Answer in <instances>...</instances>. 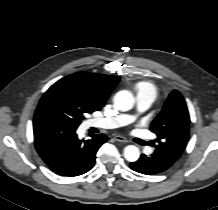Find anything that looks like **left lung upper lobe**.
<instances>
[{
    "instance_id": "5c2ea615",
    "label": "left lung upper lobe",
    "mask_w": 218,
    "mask_h": 210,
    "mask_svg": "<svg viewBox=\"0 0 218 210\" xmlns=\"http://www.w3.org/2000/svg\"><path fill=\"white\" fill-rule=\"evenodd\" d=\"M189 125L190 117L185 100L179 91L174 90L151 123V131L158 136L156 149L179 158L189 139Z\"/></svg>"
}]
</instances>
